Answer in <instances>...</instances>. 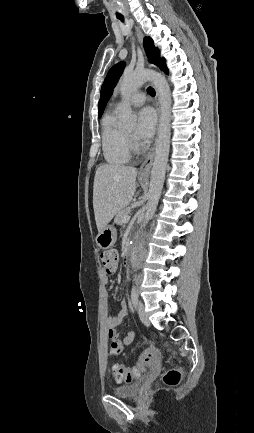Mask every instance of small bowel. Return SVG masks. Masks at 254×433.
Wrapping results in <instances>:
<instances>
[{"label":"small bowel","mask_w":254,"mask_h":433,"mask_svg":"<svg viewBox=\"0 0 254 433\" xmlns=\"http://www.w3.org/2000/svg\"><path fill=\"white\" fill-rule=\"evenodd\" d=\"M107 282V279L105 280ZM128 314V306L126 301H122L116 314L103 317L102 325L108 336L111 339V347L115 348L112 355H119L124 350L125 346L131 344L135 339V332L128 331L122 338H119L117 327L120 325L124 317ZM146 351L151 352L156 356V349L149 347Z\"/></svg>","instance_id":"small-bowel-1"}]
</instances>
